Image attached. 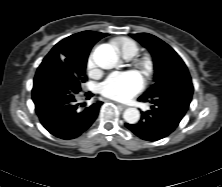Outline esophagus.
<instances>
[{
	"label": "esophagus",
	"instance_id": "esophagus-1",
	"mask_svg": "<svg viewBox=\"0 0 222 187\" xmlns=\"http://www.w3.org/2000/svg\"><path fill=\"white\" fill-rule=\"evenodd\" d=\"M118 106L122 107L123 109L127 108L126 105L120 104V103H116Z\"/></svg>",
	"mask_w": 222,
	"mask_h": 187
}]
</instances>
